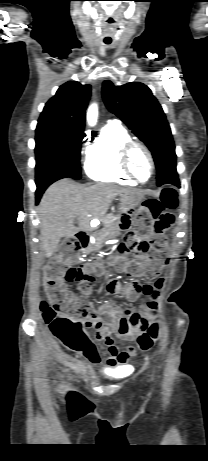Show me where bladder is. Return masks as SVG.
Masks as SVG:
<instances>
[{
	"mask_svg": "<svg viewBox=\"0 0 208 461\" xmlns=\"http://www.w3.org/2000/svg\"><path fill=\"white\" fill-rule=\"evenodd\" d=\"M105 374L108 375V376H111V377H119L121 375V369L116 368V369H113V370H106Z\"/></svg>",
	"mask_w": 208,
	"mask_h": 461,
	"instance_id": "1",
	"label": "bladder"
}]
</instances>
